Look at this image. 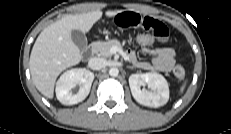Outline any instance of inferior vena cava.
I'll use <instances>...</instances> for the list:
<instances>
[{"label":"inferior vena cava","instance_id":"inferior-vena-cava-1","mask_svg":"<svg viewBox=\"0 0 231 134\" xmlns=\"http://www.w3.org/2000/svg\"><path fill=\"white\" fill-rule=\"evenodd\" d=\"M107 62L103 58L93 57L88 62V67L92 70H100L106 67Z\"/></svg>","mask_w":231,"mask_h":134}]
</instances>
